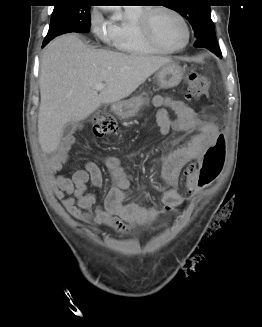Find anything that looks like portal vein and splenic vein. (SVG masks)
I'll return each mask as SVG.
<instances>
[{
  "mask_svg": "<svg viewBox=\"0 0 262 327\" xmlns=\"http://www.w3.org/2000/svg\"><path fill=\"white\" fill-rule=\"evenodd\" d=\"M105 85L103 83H99L93 86V89L100 91L102 89H104Z\"/></svg>",
  "mask_w": 262,
  "mask_h": 327,
  "instance_id": "portal-vein-and-splenic-vein-1",
  "label": "portal vein and splenic vein"
}]
</instances>
